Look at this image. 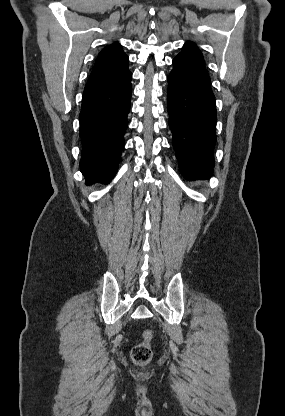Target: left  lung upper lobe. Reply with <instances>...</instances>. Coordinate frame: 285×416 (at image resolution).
<instances>
[{"label": "left lung upper lobe", "mask_w": 285, "mask_h": 416, "mask_svg": "<svg viewBox=\"0 0 285 416\" xmlns=\"http://www.w3.org/2000/svg\"><path fill=\"white\" fill-rule=\"evenodd\" d=\"M177 56L187 57L204 66L203 56L201 52L199 51V49L197 48L196 44L193 42L185 43V45L183 46L182 52L179 53Z\"/></svg>", "instance_id": "obj_1"}]
</instances>
